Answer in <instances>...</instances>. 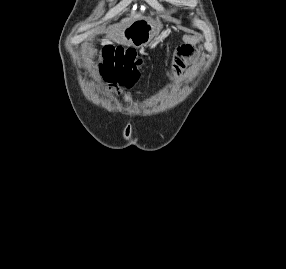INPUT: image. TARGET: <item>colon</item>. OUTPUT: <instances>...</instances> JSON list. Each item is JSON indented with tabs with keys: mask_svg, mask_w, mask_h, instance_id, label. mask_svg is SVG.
<instances>
[{
	"mask_svg": "<svg viewBox=\"0 0 286 269\" xmlns=\"http://www.w3.org/2000/svg\"><path fill=\"white\" fill-rule=\"evenodd\" d=\"M98 55L101 57L100 71L107 81L131 86L138 80L141 60L135 50L109 43L98 50Z\"/></svg>",
	"mask_w": 286,
	"mask_h": 269,
	"instance_id": "5ec220e1",
	"label": "colon"
}]
</instances>
